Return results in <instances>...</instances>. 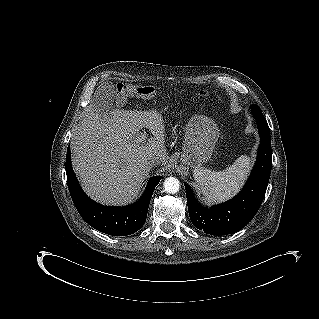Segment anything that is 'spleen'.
<instances>
[{"label": "spleen", "instance_id": "obj_1", "mask_svg": "<svg viewBox=\"0 0 319 319\" xmlns=\"http://www.w3.org/2000/svg\"><path fill=\"white\" fill-rule=\"evenodd\" d=\"M250 171V158L242 155L228 168L212 171L204 167L194 169V179L208 201L222 202L235 195Z\"/></svg>", "mask_w": 319, "mask_h": 319}]
</instances>
